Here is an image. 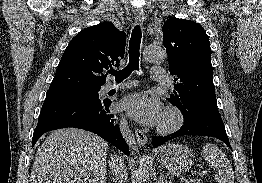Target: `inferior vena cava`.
<instances>
[{
  "label": "inferior vena cava",
  "instance_id": "inferior-vena-cava-1",
  "mask_svg": "<svg viewBox=\"0 0 262 183\" xmlns=\"http://www.w3.org/2000/svg\"><path fill=\"white\" fill-rule=\"evenodd\" d=\"M109 166L114 177V183H127L128 173L122 158L111 155Z\"/></svg>",
  "mask_w": 262,
  "mask_h": 183
}]
</instances>
